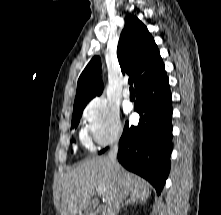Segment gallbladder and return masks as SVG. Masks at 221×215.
<instances>
[{
  "label": "gallbladder",
  "instance_id": "gallbladder-1",
  "mask_svg": "<svg viewBox=\"0 0 221 215\" xmlns=\"http://www.w3.org/2000/svg\"><path fill=\"white\" fill-rule=\"evenodd\" d=\"M94 206H95L94 203H92V202L89 203V205H88L87 208H86V213H88V214H86V215H91V213H92L93 210H94Z\"/></svg>",
  "mask_w": 221,
  "mask_h": 215
}]
</instances>
